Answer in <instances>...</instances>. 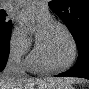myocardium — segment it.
Returning <instances> with one entry per match:
<instances>
[{
	"label": "myocardium",
	"mask_w": 89,
	"mask_h": 89,
	"mask_svg": "<svg viewBox=\"0 0 89 89\" xmlns=\"http://www.w3.org/2000/svg\"><path fill=\"white\" fill-rule=\"evenodd\" d=\"M53 24L55 26H58L59 28H61L66 33V35L68 36V38L71 42L72 56H71L69 62H67L64 65H60V66H55V65L50 64L46 60V58L44 57V55L42 53L39 40H37V42H36V54L39 57L42 64L44 65L46 71H62V70L69 69L70 67H72L74 65V63L76 62V59H77L78 47H77V43H76V40H75L72 32L70 31V29L64 23L59 22V21H54Z\"/></svg>",
	"instance_id": "1"
}]
</instances>
